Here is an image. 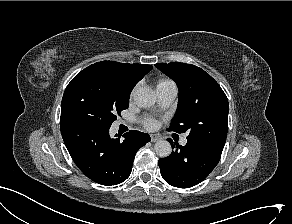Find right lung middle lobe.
Returning a JSON list of instances; mask_svg holds the SVG:
<instances>
[{
  "mask_svg": "<svg viewBox=\"0 0 292 224\" xmlns=\"http://www.w3.org/2000/svg\"><path fill=\"white\" fill-rule=\"evenodd\" d=\"M130 93L111 68L100 63L92 64L66 87L60 121H79L110 129L117 115L128 108Z\"/></svg>",
  "mask_w": 292,
  "mask_h": 224,
  "instance_id": "obj_1",
  "label": "right lung middle lobe"
}]
</instances>
